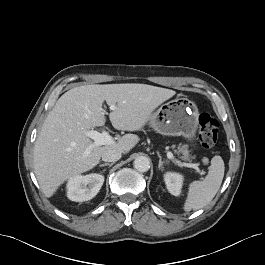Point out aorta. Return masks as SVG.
Listing matches in <instances>:
<instances>
[{"instance_id":"aorta-1","label":"aorta","mask_w":265,"mask_h":265,"mask_svg":"<svg viewBox=\"0 0 265 265\" xmlns=\"http://www.w3.org/2000/svg\"><path fill=\"white\" fill-rule=\"evenodd\" d=\"M133 164L134 168L139 172H147L150 168V161L146 156L136 157Z\"/></svg>"}]
</instances>
